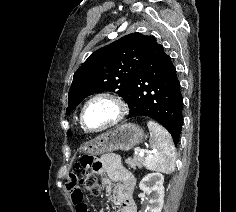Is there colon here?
<instances>
[{"instance_id":"colon-1","label":"colon","mask_w":236,"mask_h":212,"mask_svg":"<svg viewBox=\"0 0 236 212\" xmlns=\"http://www.w3.org/2000/svg\"><path fill=\"white\" fill-rule=\"evenodd\" d=\"M93 164L94 161L91 158H85L78 163V169L81 172L79 185L85 191L93 195H99L101 192V187L95 175L94 168H92Z\"/></svg>"}]
</instances>
